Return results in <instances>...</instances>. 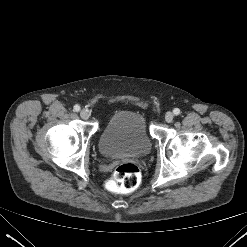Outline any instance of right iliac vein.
I'll use <instances>...</instances> for the list:
<instances>
[{
	"mask_svg": "<svg viewBox=\"0 0 247 247\" xmlns=\"http://www.w3.org/2000/svg\"><path fill=\"white\" fill-rule=\"evenodd\" d=\"M90 114L86 109H82L80 111V117L84 120H87L89 118Z\"/></svg>",
	"mask_w": 247,
	"mask_h": 247,
	"instance_id": "obj_1",
	"label": "right iliac vein"
}]
</instances>
